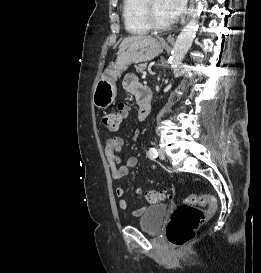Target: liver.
Segmentation results:
<instances>
[{
    "label": "liver",
    "mask_w": 261,
    "mask_h": 273,
    "mask_svg": "<svg viewBox=\"0 0 261 273\" xmlns=\"http://www.w3.org/2000/svg\"><path fill=\"white\" fill-rule=\"evenodd\" d=\"M148 38H151V37L150 36H130V37L125 38L122 41L120 47H123V46L127 45L128 43H130L132 41L148 39Z\"/></svg>",
    "instance_id": "1"
}]
</instances>
